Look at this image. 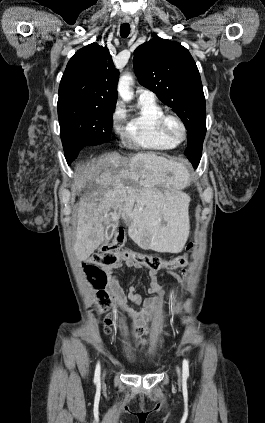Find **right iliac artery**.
Here are the masks:
<instances>
[{
	"mask_svg": "<svg viewBox=\"0 0 265 423\" xmlns=\"http://www.w3.org/2000/svg\"><path fill=\"white\" fill-rule=\"evenodd\" d=\"M94 383L95 384L100 383V364L99 363H97V365H96Z\"/></svg>",
	"mask_w": 265,
	"mask_h": 423,
	"instance_id": "right-iliac-artery-1",
	"label": "right iliac artery"
}]
</instances>
